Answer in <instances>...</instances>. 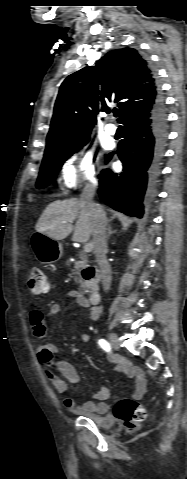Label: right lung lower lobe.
Returning a JSON list of instances; mask_svg holds the SVG:
<instances>
[{"label":"right lung lower lobe","instance_id":"right-lung-lower-lobe-1","mask_svg":"<svg viewBox=\"0 0 187 479\" xmlns=\"http://www.w3.org/2000/svg\"><path fill=\"white\" fill-rule=\"evenodd\" d=\"M121 123L127 130L117 148L123 172L117 175L103 170L98 193L113 209L141 218L143 200L153 192L167 138V113L161 94L152 104L129 112Z\"/></svg>","mask_w":187,"mask_h":479}]
</instances>
